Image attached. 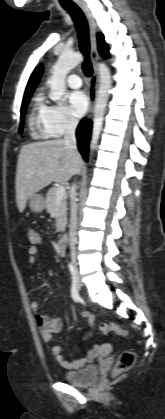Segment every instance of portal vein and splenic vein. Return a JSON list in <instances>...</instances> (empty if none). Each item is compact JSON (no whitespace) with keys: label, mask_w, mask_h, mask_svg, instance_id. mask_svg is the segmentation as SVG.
<instances>
[{"label":"portal vein and splenic vein","mask_w":165,"mask_h":419,"mask_svg":"<svg viewBox=\"0 0 165 419\" xmlns=\"http://www.w3.org/2000/svg\"><path fill=\"white\" fill-rule=\"evenodd\" d=\"M63 195H65V187L59 186L56 189V198L59 200Z\"/></svg>","instance_id":"obj_1"}]
</instances>
